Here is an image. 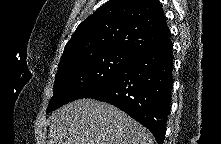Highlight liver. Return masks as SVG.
I'll return each mask as SVG.
<instances>
[{
    "label": "liver",
    "mask_w": 221,
    "mask_h": 144,
    "mask_svg": "<svg viewBox=\"0 0 221 144\" xmlns=\"http://www.w3.org/2000/svg\"><path fill=\"white\" fill-rule=\"evenodd\" d=\"M48 144H153L151 133L117 107L79 99L54 111Z\"/></svg>",
    "instance_id": "6515ba94"
}]
</instances>
